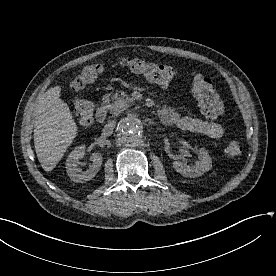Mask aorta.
Wrapping results in <instances>:
<instances>
[{
	"instance_id": "1",
	"label": "aorta",
	"mask_w": 276,
	"mask_h": 276,
	"mask_svg": "<svg viewBox=\"0 0 276 276\" xmlns=\"http://www.w3.org/2000/svg\"><path fill=\"white\" fill-rule=\"evenodd\" d=\"M117 133L125 145H137L142 139L141 121L135 116H128L119 124Z\"/></svg>"
}]
</instances>
